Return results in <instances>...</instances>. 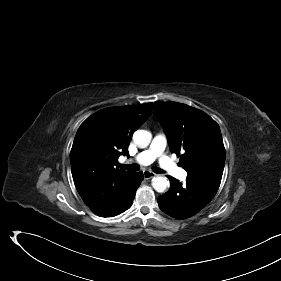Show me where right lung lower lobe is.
Returning a JSON list of instances; mask_svg holds the SVG:
<instances>
[{"mask_svg": "<svg viewBox=\"0 0 281 281\" xmlns=\"http://www.w3.org/2000/svg\"><path fill=\"white\" fill-rule=\"evenodd\" d=\"M142 180V172L133 173L115 203L93 211L101 217H113L129 209L133 203L136 190Z\"/></svg>", "mask_w": 281, "mask_h": 281, "instance_id": "98d812e1", "label": "right lung lower lobe"}]
</instances>
